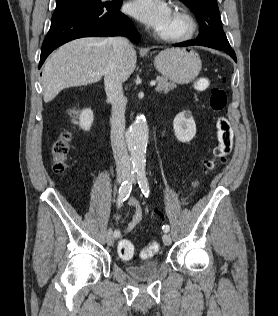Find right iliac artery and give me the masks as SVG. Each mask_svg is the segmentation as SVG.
<instances>
[{
  "label": "right iliac artery",
  "mask_w": 278,
  "mask_h": 316,
  "mask_svg": "<svg viewBox=\"0 0 278 316\" xmlns=\"http://www.w3.org/2000/svg\"><path fill=\"white\" fill-rule=\"evenodd\" d=\"M137 172V169H132L131 174H134ZM132 189L131 182L129 180L124 181L120 188H119V194H118V199H117V206L120 208L123 204V202L129 197L130 192ZM120 236V231L115 230L114 231V237L118 238Z\"/></svg>",
  "instance_id": "obj_1"
}]
</instances>
